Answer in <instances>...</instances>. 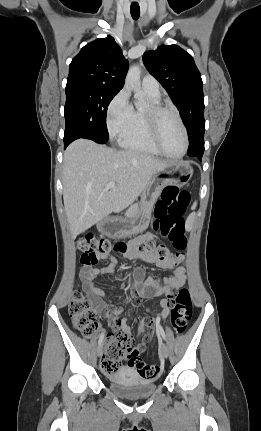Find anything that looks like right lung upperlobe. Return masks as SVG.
Segmentation results:
<instances>
[{"label": "right lung upper lobe", "instance_id": "right-lung-upper-lobe-1", "mask_svg": "<svg viewBox=\"0 0 261 431\" xmlns=\"http://www.w3.org/2000/svg\"><path fill=\"white\" fill-rule=\"evenodd\" d=\"M128 71V61L114 38H99L84 46L69 66L67 81L84 80L121 90Z\"/></svg>", "mask_w": 261, "mask_h": 431}]
</instances>
